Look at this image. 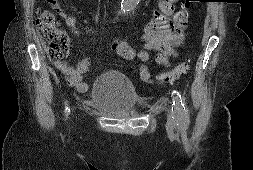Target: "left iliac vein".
I'll use <instances>...</instances> for the list:
<instances>
[{
  "label": "left iliac vein",
  "mask_w": 253,
  "mask_h": 170,
  "mask_svg": "<svg viewBox=\"0 0 253 170\" xmlns=\"http://www.w3.org/2000/svg\"><path fill=\"white\" fill-rule=\"evenodd\" d=\"M175 124V120L173 119L172 113L169 111L168 113V125L173 126Z\"/></svg>",
  "instance_id": "obj_1"
}]
</instances>
